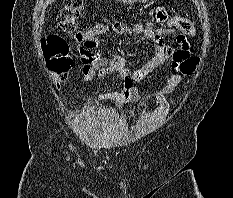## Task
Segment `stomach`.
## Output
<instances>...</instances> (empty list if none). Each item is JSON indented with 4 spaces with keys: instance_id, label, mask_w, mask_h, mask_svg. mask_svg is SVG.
I'll return each instance as SVG.
<instances>
[{
    "instance_id": "0dacf381",
    "label": "stomach",
    "mask_w": 233,
    "mask_h": 198,
    "mask_svg": "<svg viewBox=\"0 0 233 198\" xmlns=\"http://www.w3.org/2000/svg\"><path fill=\"white\" fill-rule=\"evenodd\" d=\"M116 1L121 2L123 4H134L137 1L145 3V2H148L149 0H116Z\"/></svg>"
}]
</instances>
